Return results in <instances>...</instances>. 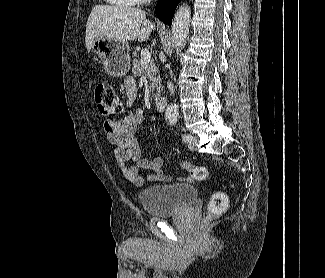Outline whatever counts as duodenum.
I'll use <instances>...</instances> for the list:
<instances>
[{"instance_id":"duodenum-1","label":"duodenum","mask_w":325,"mask_h":278,"mask_svg":"<svg viewBox=\"0 0 325 278\" xmlns=\"http://www.w3.org/2000/svg\"><path fill=\"white\" fill-rule=\"evenodd\" d=\"M154 106L157 111L163 112L166 108V100L163 97L156 98L154 100Z\"/></svg>"}]
</instances>
